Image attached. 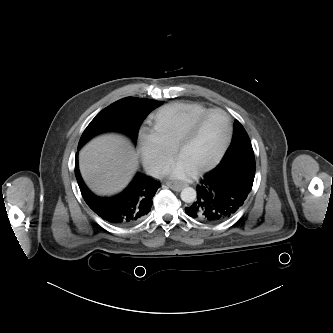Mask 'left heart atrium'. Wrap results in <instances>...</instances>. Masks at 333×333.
<instances>
[{"mask_svg":"<svg viewBox=\"0 0 333 333\" xmlns=\"http://www.w3.org/2000/svg\"><path fill=\"white\" fill-rule=\"evenodd\" d=\"M166 172L173 178L181 179L189 176L193 170L180 159H177L168 167Z\"/></svg>","mask_w":333,"mask_h":333,"instance_id":"1","label":"left heart atrium"}]
</instances>
